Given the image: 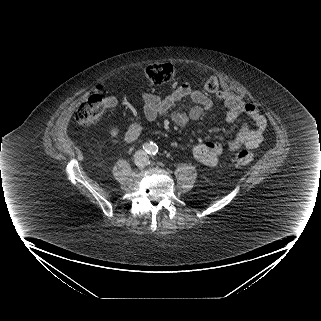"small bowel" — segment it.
<instances>
[{"mask_svg":"<svg viewBox=\"0 0 321 321\" xmlns=\"http://www.w3.org/2000/svg\"><path fill=\"white\" fill-rule=\"evenodd\" d=\"M185 98H189L194 105L187 113L173 112L171 116L173 123L181 127L185 126L189 121L199 119L204 111L210 109L213 104V100L209 95L201 90L193 89L187 83H183L163 98L153 93H146L143 97L146 119L154 121L158 115L167 113ZM215 98L223 102L226 108L225 120L227 122H233L244 114L248 118L250 125H241L235 136L225 144L208 141L192 147L191 153L193 157L209 167H215L218 164L219 157L224 152L235 150L241 146L249 149L258 148L263 142V134L267 126L266 117L254 105L245 103L237 96L224 91L218 92ZM106 104L108 107H114L117 104V98L114 95L108 96ZM140 133L141 125L138 122H133L129 125L124 140L133 142L139 137Z\"/></svg>","mask_w":321,"mask_h":321,"instance_id":"c3829d8e","label":"small bowel"}]
</instances>
